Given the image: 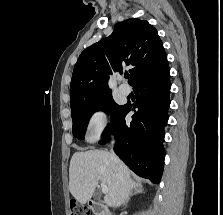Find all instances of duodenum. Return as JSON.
I'll use <instances>...</instances> for the list:
<instances>
[{"label":"duodenum","instance_id":"1","mask_svg":"<svg viewBox=\"0 0 223 215\" xmlns=\"http://www.w3.org/2000/svg\"><path fill=\"white\" fill-rule=\"evenodd\" d=\"M90 208L93 215H106L105 207L101 200H93L90 202Z\"/></svg>","mask_w":223,"mask_h":215}]
</instances>
